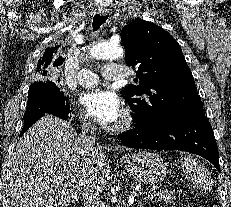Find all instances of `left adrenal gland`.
Listing matches in <instances>:
<instances>
[{"instance_id":"a2214340","label":"left adrenal gland","mask_w":231,"mask_h":207,"mask_svg":"<svg viewBox=\"0 0 231 207\" xmlns=\"http://www.w3.org/2000/svg\"><path fill=\"white\" fill-rule=\"evenodd\" d=\"M138 206L141 207V201H139V205Z\"/></svg>"}]
</instances>
